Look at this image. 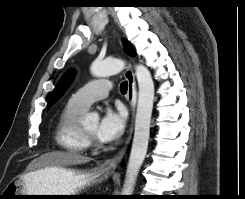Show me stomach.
I'll return each mask as SVG.
<instances>
[{"label":"stomach","mask_w":245,"mask_h":199,"mask_svg":"<svg viewBox=\"0 0 245 199\" xmlns=\"http://www.w3.org/2000/svg\"><path fill=\"white\" fill-rule=\"evenodd\" d=\"M108 175L104 171L87 172L73 168L48 167L11 181L5 190L16 199L30 198L15 195H78L82 189L100 179H106Z\"/></svg>","instance_id":"stomach-1"}]
</instances>
